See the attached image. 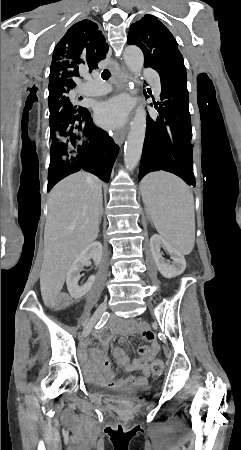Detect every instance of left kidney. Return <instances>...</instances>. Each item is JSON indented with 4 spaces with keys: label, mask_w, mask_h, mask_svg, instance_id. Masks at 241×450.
<instances>
[{
    "label": "left kidney",
    "mask_w": 241,
    "mask_h": 450,
    "mask_svg": "<svg viewBox=\"0 0 241 450\" xmlns=\"http://www.w3.org/2000/svg\"><path fill=\"white\" fill-rule=\"evenodd\" d=\"M150 248L154 262L160 274H162L164 278H175V276H180V274H183L186 268L184 256H182L180 252H177L175 248H172V246H170V244H168L162 236L154 234V236L150 238ZM161 248L170 254L173 262H169V260H165V258H163L162 252H160Z\"/></svg>",
    "instance_id": "left-kidney-1"
}]
</instances>
